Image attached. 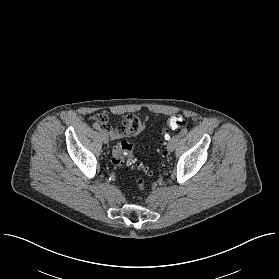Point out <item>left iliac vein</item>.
I'll return each mask as SVG.
<instances>
[{"label": "left iliac vein", "instance_id": "left-iliac-vein-1", "mask_svg": "<svg viewBox=\"0 0 279 279\" xmlns=\"http://www.w3.org/2000/svg\"><path fill=\"white\" fill-rule=\"evenodd\" d=\"M180 137H181V136H180L179 134H177V135H174V136L170 139V141H169L168 144H167V149H168L169 152L174 151V149L176 148V145H177L178 141L180 140Z\"/></svg>", "mask_w": 279, "mask_h": 279}]
</instances>
